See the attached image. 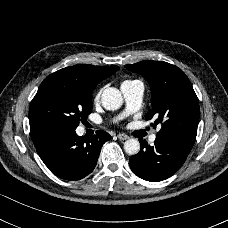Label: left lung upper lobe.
Segmentation results:
<instances>
[{"instance_id": "left-lung-upper-lobe-1", "label": "left lung upper lobe", "mask_w": 228, "mask_h": 228, "mask_svg": "<svg viewBox=\"0 0 228 228\" xmlns=\"http://www.w3.org/2000/svg\"><path fill=\"white\" fill-rule=\"evenodd\" d=\"M125 67L142 75L150 84L152 108L145 115L162 124L158 137L194 144L199 122V101L192 84L178 67L162 61L145 60Z\"/></svg>"}]
</instances>
